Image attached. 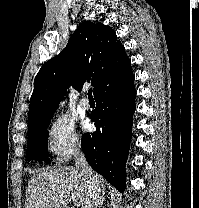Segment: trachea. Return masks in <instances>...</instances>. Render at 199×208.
<instances>
[{
  "label": "trachea",
  "instance_id": "obj_1",
  "mask_svg": "<svg viewBox=\"0 0 199 208\" xmlns=\"http://www.w3.org/2000/svg\"><path fill=\"white\" fill-rule=\"evenodd\" d=\"M88 98H89V99H93L92 88L89 89V91H88Z\"/></svg>",
  "mask_w": 199,
  "mask_h": 208
}]
</instances>
